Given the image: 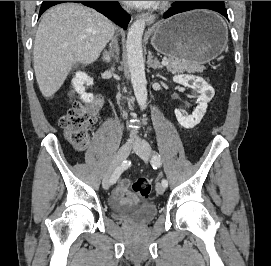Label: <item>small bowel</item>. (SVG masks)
Wrapping results in <instances>:
<instances>
[{"mask_svg":"<svg viewBox=\"0 0 271 266\" xmlns=\"http://www.w3.org/2000/svg\"><path fill=\"white\" fill-rule=\"evenodd\" d=\"M129 187V179L123 178L120 180L110 197V203L113 207L118 209L130 208L140 203L139 197L131 192Z\"/></svg>","mask_w":271,"mask_h":266,"instance_id":"1","label":"small bowel"}]
</instances>
